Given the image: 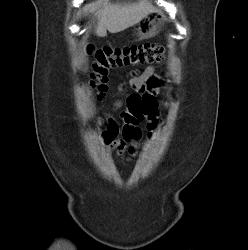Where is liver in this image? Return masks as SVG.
<instances>
[{
	"instance_id": "1",
	"label": "liver",
	"mask_w": 248,
	"mask_h": 250,
	"mask_svg": "<svg viewBox=\"0 0 248 250\" xmlns=\"http://www.w3.org/2000/svg\"><path fill=\"white\" fill-rule=\"evenodd\" d=\"M88 7L97 17L95 34L99 37L106 36L107 30L118 33L136 25L154 9L147 0L105 4L101 8L91 4Z\"/></svg>"
}]
</instances>
